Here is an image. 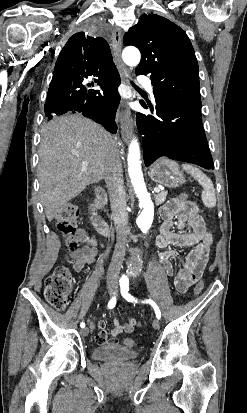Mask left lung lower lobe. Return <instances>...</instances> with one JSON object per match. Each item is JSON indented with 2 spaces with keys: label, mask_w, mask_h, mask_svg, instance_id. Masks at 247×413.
Masks as SVG:
<instances>
[{
  "label": "left lung lower lobe",
  "mask_w": 247,
  "mask_h": 413,
  "mask_svg": "<svg viewBox=\"0 0 247 413\" xmlns=\"http://www.w3.org/2000/svg\"><path fill=\"white\" fill-rule=\"evenodd\" d=\"M155 101L159 119L140 112L136 116L138 130L144 135L142 146L145 165L149 166L159 157H168L214 169L202 125L201 109L170 99ZM141 104L147 108L144 102ZM148 104L152 111V105Z\"/></svg>",
  "instance_id": "left-lung-lower-lobe-1"
}]
</instances>
